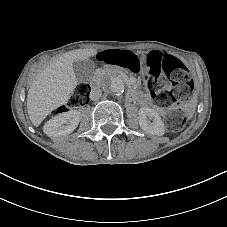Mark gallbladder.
I'll return each mask as SVG.
<instances>
[{
  "mask_svg": "<svg viewBox=\"0 0 227 227\" xmlns=\"http://www.w3.org/2000/svg\"><path fill=\"white\" fill-rule=\"evenodd\" d=\"M74 72L78 83H89L95 72L94 61L88 59L83 61H77L73 63Z\"/></svg>",
  "mask_w": 227,
  "mask_h": 227,
  "instance_id": "gallbladder-1",
  "label": "gallbladder"
}]
</instances>
